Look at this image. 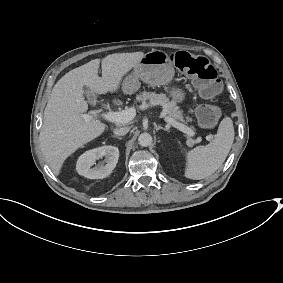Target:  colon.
I'll return each mask as SVG.
<instances>
[{"label": "colon", "instance_id": "obj_1", "mask_svg": "<svg viewBox=\"0 0 283 283\" xmlns=\"http://www.w3.org/2000/svg\"><path fill=\"white\" fill-rule=\"evenodd\" d=\"M171 60L181 72L192 78L204 98L213 99L219 93L221 85L217 71L205 57L177 51L171 55ZM219 115L218 107L213 104H203L197 110L198 122L204 128H212Z\"/></svg>", "mask_w": 283, "mask_h": 283}]
</instances>
